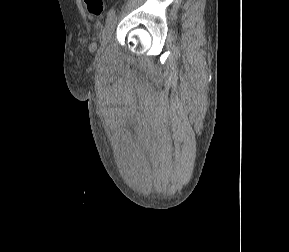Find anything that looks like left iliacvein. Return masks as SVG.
Masks as SVG:
<instances>
[{"instance_id": "4c4485c4", "label": "left iliac vein", "mask_w": 289, "mask_h": 252, "mask_svg": "<svg viewBox=\"0 0 289 252\" xmlns=\"http://www.w3.org/2000/svg\"><path fill=\"white\" fill-rule=\"evenodd\" d=\"M115 23H116V17L113 16L112 18H110L109 20H107L105 28L102 32V39H101V46L102 48H105L107 46V44L109 43L114 28H115Z\"/></svg>"}]
</instances>
